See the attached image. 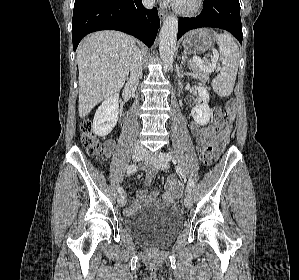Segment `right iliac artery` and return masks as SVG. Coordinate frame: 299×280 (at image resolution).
I'll list each match as a JSON object with an SVG mask.
<instances>
[{"label":"right iliac artery","instance_id":"right-iliac-artery-1","mask_svg":"<svg viewBox=\"0 0 299 280\" xmlns=\"http://www.w3.org/2000/svg\"><path fill=\"white\" fill-rule=\"evenodd\" d=\"M137 171V166L136 165H130L128 168H127V174H133ZM118 192L120 194H124V190L122 187H118Z\"/></svg>","mask_w":299,"mask_h":280}]
</instances>
